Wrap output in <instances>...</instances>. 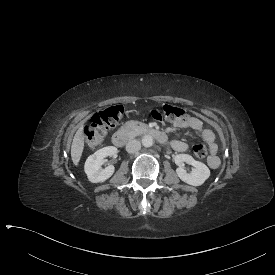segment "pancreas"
Returning <instances> with one entry per match:
<instances>
[{"label":"pancreas","mask_w":275,"mask_h":275,"mask_svg":"<svg viewBox=\"0 0 275 275\" xmlns=\"http://www.w3.org/2000/svg\"><path fill=\"white\" fill-rule=\"evenodd\" d=\"M148 129V125L139 121H128L126 122L119 131L126 133L131 138L138 136Z\"/></svg>","instance_id":"obj_1"}]
</instances>
